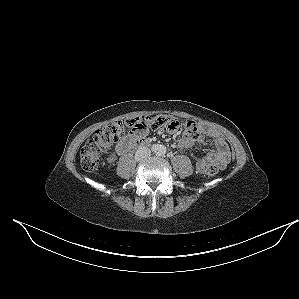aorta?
Here are the masks:
<instances>
[{
    "label": "aorta",
    "instance_id": "obj_1",
    "mask_svg": "<svg viewBox=\"0 0 299 299\" xmlns=\"http://www.w3.org/2000/svg\"><path fill=\"white\" fill-rule=\"evenodd\" d=\"M165 151H166V148H165V147H161V148L159 149V152H160L161 154L165 153ZM159 152H158V153H159Z\"/></svg>",
    "mask_w": 299,
    "mask_h": 299
}]
</instances>
